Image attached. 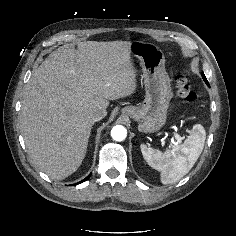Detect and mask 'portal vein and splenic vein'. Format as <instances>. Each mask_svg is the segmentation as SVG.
Wrapping results in <instances>:
<instances>
[{
  "label": "portal vein and splenic vein",
  "mask_w": 236,
  "mask_h": 236,
  "mask_svg": "<svg viewBox=\"0 0 236 236\" xmlns=\"http://www.w3.org/2000/svg\"><path fill=\"white\" fill-rule=\"evenodd\" d=\"M175 139L177 140V143H181L182 142V137L178 134H174Z\"/></svg>",
  "instance_id": "portal-vein-and-splenic-vein-1"
}]
</instances>
